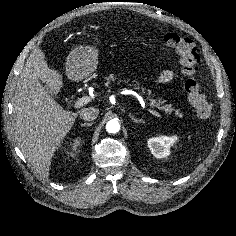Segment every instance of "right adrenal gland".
Returning a JSON list of instances; mask_svg holds the SVG:
<instances>
[{
    "label": "right adrenal gland",
    "instance_id": "obj_1",
    "mask_svg": "<svg viewBox=\"0 0 236 236\" xmlns=\"http://www.w3.org/2000/svg\"><path fill=\"white\" fill-rule=\"evenodd\" d=\"M93 122L82 123L81 126H92Z\"/></svg>",
    "mask_w": 236,
    "mask_h": 236
}]
</instances>
